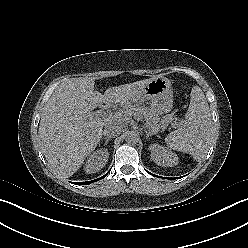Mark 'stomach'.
Instances as JSON below:
<instances>
[{
    "instance_id": "1",
    "label": "stomach",
    "mask_w": 248,
    "mask_h": 248,
    "mask_svg": "<svg viewBox=\"0 0 248 248\" xmlns=\"http://www.w3.org/2000/svg\"><path fill=\"white\" fill-rule=\"evenodd\" d=\"M146 100L151 101V108L154 111L160 114L169 112L173 105V91L170 80L161 75L153 77L127 106L141 104Z\"/></svg>"
}]
</instances>
